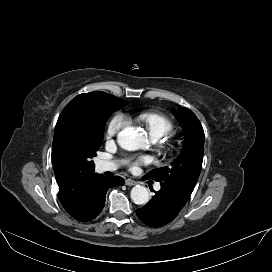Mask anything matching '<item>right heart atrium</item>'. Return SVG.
Here are the masks:
<instances>
[{"mask_svg": "<svg viewBox=\"0 0 272 272\" xmlns=\"http://www.w3.org/2000/svg\"><path fill=\"white\" fill-rule=\"evenodd\" d=\"M128 123V118L122 114H115L109 121L106 129V137L108 139L113 138L120 129H122Z\"/></svg>", "mask_w": 272, "mask_h": 272, "instance_id": "right-heart-atrium-1", "label": "right heart atrium"}]
</instances>
